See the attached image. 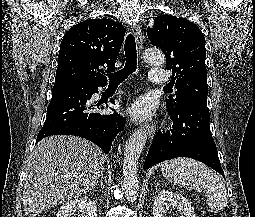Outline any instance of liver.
Here are the masks:
<instances>
[{
	"label": "liver",
	"mask_w": 255,
	"mask_h": 217,
	"mask_svg": "<svg viewBox=\"0 0 255 217\" xmlns=\"http://www.w3.org/2000/svg\"><path fill=\"white\" fill-rule=\"evenodd\" d=\"M105 155L92 142L75 136H50L31 153L23 202L27 217L86 194L103 176Z\"/></svg>",
	"instance_id": "1"
}]
</instances>
